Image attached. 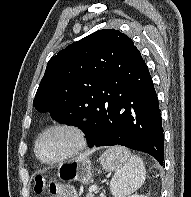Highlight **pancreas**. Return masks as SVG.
<instances>
[{"mask_svg": "<svg viewBox=\"0 0 191 197\" xmlns=\"http://www.w3.org/2000/svg\"><path fill=\"white\" fill-rule=\"evenodd\" d=\"M86 197H94V194L91 193V192H88L87 195H86Z\"/></svg>", "mask_w": 191, "mask_h": 197, "instance_id": "obj_1", "label": "pancreas"}]
</instances>
